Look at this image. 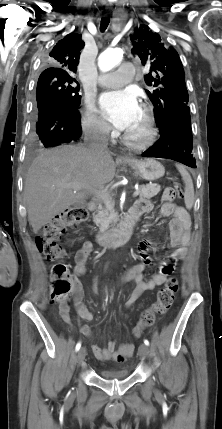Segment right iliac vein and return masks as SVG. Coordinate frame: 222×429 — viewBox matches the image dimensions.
Wrapping results in <instances>:
<instances>
[{
	"label": "right iliac vein",
	"instance_id": "obj_1",
	"mask_svg": "<svg viewBox=\"0 0 222 429\" xmlns=\"http://www.w3.org/2000/svg\"><path fill=\"white\" fill-rule=\"evenodd\" d=\"M85 356H86V350H85V348H81V349L78 351L77 356H76V361H77V363H78V364H81V363L84 361Z\"/></svg>",
	"mask_w": 222,
	"mask_h": 429
}]
</instances>
